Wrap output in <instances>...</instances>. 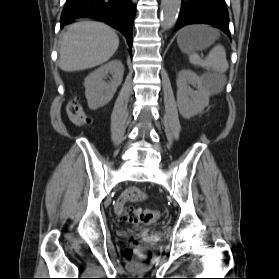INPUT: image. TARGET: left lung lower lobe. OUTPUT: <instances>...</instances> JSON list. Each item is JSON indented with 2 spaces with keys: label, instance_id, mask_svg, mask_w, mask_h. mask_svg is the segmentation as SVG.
Instances as JSON below:
<instances>
[{
  "label": "left lung lower lobe",
  "instance_id": "1",
  "mask_svg": "<svg viewBox=\"0 0 279 279\" xmlns=\"http://www.w3.org/2000/svg\"><path fill=\"white\" fill-rule=\"evenodd\" d=\"M204 23L220 28L231 39L229 15L225 0H182L174 30L185 25Z\"/></svg>",
  "mask_w": 279,
  "mask_h": 279
}]
</instances>
